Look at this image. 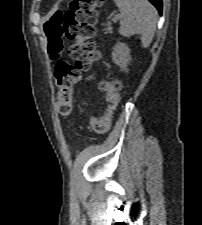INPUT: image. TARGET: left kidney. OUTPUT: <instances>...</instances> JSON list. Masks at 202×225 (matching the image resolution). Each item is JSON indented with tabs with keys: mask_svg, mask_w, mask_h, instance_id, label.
<instances>
[{
	"mask_svg": "<svg viewBox=\"0 0 202 225\" xmlns=\"http://www.w3.org/2000/svg\"><path fill=\"white\" fill-rule=\"evenodd\" d=\"M130 60L131 56L129 47L124 43H117L113 47L112 61L122 70H126Z\"/></svg>",
	"mask_w": 202,
	"mask_h": 225,
	"instance_id": "obj_1",
	"label": "left kidney"
}]
</instances>
